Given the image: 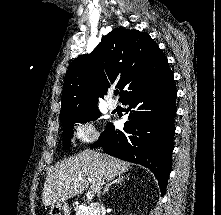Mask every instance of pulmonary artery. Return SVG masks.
<instances>
[{"mask_svg":"<svg viewBox=\"0 0 221 215\" xmlns=\"http://www.w3.org/2000/svg\"><path fill=\"white\" fill-rule=\"evenodd\" d=\"M106 105L108 107L109 110H114L117 107V103L116 101H114L113 99L109 98L106 102Z\"/></svg>","mask_w":221,"mask_h":215,"instance_id":"obj_1","label":"pulmonary artery"}]
</instances>
